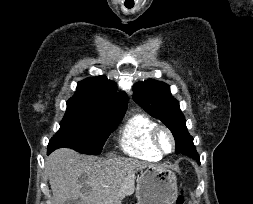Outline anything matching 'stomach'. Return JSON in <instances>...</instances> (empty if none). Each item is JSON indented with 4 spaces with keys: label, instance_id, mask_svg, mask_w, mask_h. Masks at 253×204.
I'll return each mask as SVG.
<instances>
[{
    "label": "stomach",
    "instance_id": "0dacf381",
    "mask_svg": "<svg viewBox=\"0 0 253 204\" xmlns=\"http://www.w3.org/2000/svg\"><path fill=\"white\" fill-rule=\"evenodd\" d=\"M137 204H173L178 197L177 177L167 166L150 165L137 178Z\"/></svg>",
    "mask_w": 253,
    "mask_h": 204
}]
</instances>
